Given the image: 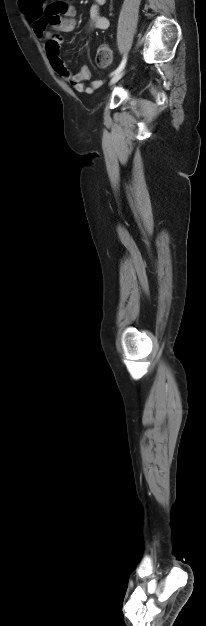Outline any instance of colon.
I'll return each mask as SVG.
<instances>
[{
    "instance_id": "obj_1",
    "label": "colon",
    "mask_w": 206,
    "mask_h": 626,
    "mask_svg": "<svg viewBox=\"0 0 206 626\" xmlns=\"http://www.w3.org/2000/svg\"><path fill=\"white\" fill-rule=\"evenodd\" d=\"M112 59L111 49L107 45L99 47L96 54V61L100 66H107Z\"/></svg>"
}]
</instances>
